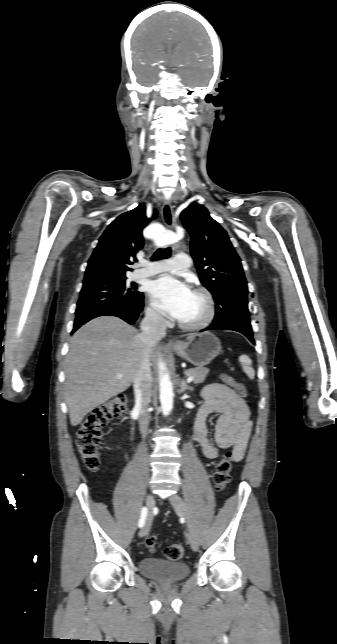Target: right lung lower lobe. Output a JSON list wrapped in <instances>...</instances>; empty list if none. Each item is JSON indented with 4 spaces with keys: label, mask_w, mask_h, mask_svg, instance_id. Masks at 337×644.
Segmentation results:
<instances>
[{
    "label": "right lung lower lobe",
    "mask_w": 337,
    "mask_h": 644,
    "mask_svg": "<svg viewBox=\"0 0 337 644\" xmlns=\"http://www.w3.org/2000/svg\"><path fill=\"white\" fill-rule=\"evenodd\" d=\"M143 306L144 305H143V295H142L136 301L129 304L103 307V308H98V309L76 314V318L74 321V328L72 332H75L81 325L85 324L89 320L95 317L104 316V315L117 316L125 320L129 324H134L140 317V313L143 310Z\"/></svg>",
    "instance_id": "right-lung-lower-lobe-1"
}]
</instances>
